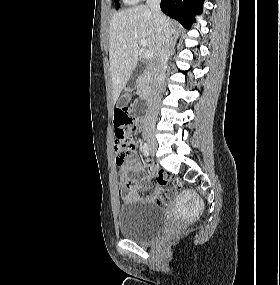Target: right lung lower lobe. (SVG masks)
I'll list each match as a JSON object with an SVG mask.
<instances>
[{
	"label": "right lung lower lobe",
	"mask_w": 280,
	"mask_h": 285,
	"mask_svg": "<svg viewBox=\"0 0 280 285\" xmlns=\"http://www.w3.org/2000/svg\"><path fill=\"white\" fill-rule=\"evenodd\" d=\"M204 0H161V10L189 28L194 15L200 14Z\"/></svg>",
	"instance_id": "1"
}]
</instances>
